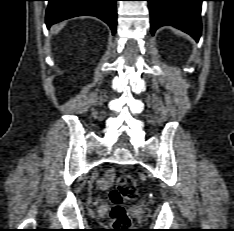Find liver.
I'll return each instance as SVG.
<instances>
[{"instance_id": "6515ba94", "label": "liver", "mask_w": 234, "mask_h": 231, "mask_svg": "<svg viewBox=\"0 0 234 231\" xmlns=\"http://www.w3.org/2000/svg\"><path fill=\"white\" fill-rule=\"evenodd\" d=\"M65 25V22L60 23L58 26H56L53 30V34H57Z\"/></svg>"}]
</instances>
